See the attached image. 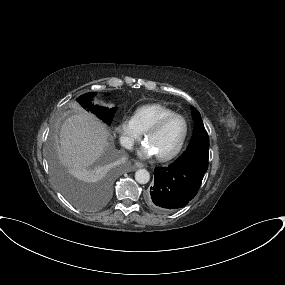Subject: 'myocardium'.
<instances>
[{
  "label": "myocardium",
  "mask_w": 285,
  "mask_h": 285,
  "mask_svg": "<svg viewBox=\"0 0 285 285\" xmlns=\"http://www.w3.org/2000/svg\"><path fill=\"white\" fill-rule=\"evenodd\" d=\"M175 118L182 119V121L184 123V133L182 135V138H181L179 144L177 145V147L174 150H172L171 152H169L167 154L156 155V157L160 161H169V160L173 159L175 156H177L179 154V152L183 148L184 143H185L186 138H187V135H188V122H187L186 118L180 114L175 113V114L161 118L159 121H157L154 125H152L148 130H146L144 132V140L146 141L150 135L160 131L169 121H171L172 119H175Z\"/></svg>",
  "instance_id": "myocardium-1"
}]
</instances>
